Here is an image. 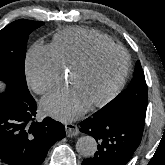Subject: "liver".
Instances as JSON below:
<instances>
[{
  "label": "liver",
  "mask_w": 165,
  "mask_h": 165,
  "mask_svg": "<svg viewBox=\"0 0 165 165\" xmlns=\"http://www.w3.org/2000/svg\"><path fill=\"white\" fill-rule=\"evenodd\" d=\"M3 85L0 83V87H2Z\"/></svg>",
  "instance_id": "6515ba94"
}]
</instances>
